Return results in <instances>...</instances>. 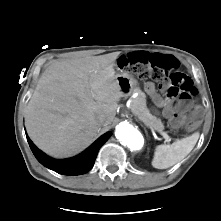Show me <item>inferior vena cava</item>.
<instances>
[{"label": "inferior vena cava", "mask_w": 221, "mask_h": 221, "mask_svg": "<svg viewBox=\"0 0 221 221\" xmlns=\"http://www.w3.org/2000/svg\"><path fill=\"white\" fill-rule=\"evenodd\" d=\"M97 122L99 123V125H104L105 123V117L103 115H99L97 117Z\"/></svg>", "instance_id": "602c4592"}]
</instances>
